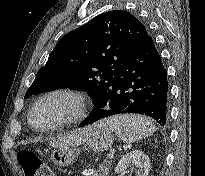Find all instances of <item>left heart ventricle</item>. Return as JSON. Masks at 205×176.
Wrapping results in <instances>:
<instances>
[{
  "label": "left heart ventricle",
  "instance_id": "1",
  "mask_svg": "<svg viewBox=\"0 0 205 176\" xmlns=\"http://www.w3.org/2000/svg\"><path fill=\"white\" fill-rule=\"evenodd\" d=\"M71 111V104L62 98L49 100L34 112L33 122L38 126H48Z\"/></svg>",
  "mask_w": 205,
  "mask_h": 176
}]
</instances>
